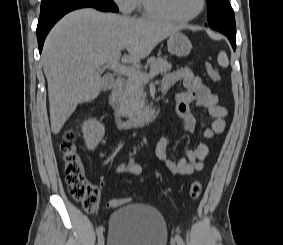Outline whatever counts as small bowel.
Segmentation results:
<instances>
[{"label": "small bowel", "mask_w": 283, "mask_h": 245, "mask_svg": "<svg viewBox=\"0 0 283 245\" xmlns=\"http://www.w3.org/2000/svg\"><path fill=\"white\" fill-rule=\"evenodd\" d=\"M177 84H182L185 90L174 95L173 117L179 119L188 132L194 133L198 126L194 109H203L211 118L203 132L204 138L213 140L215 136L221 134L226 126L227 109L220 105L219 97L188 68H179L167 73L162 81V90L167 93ZM208 154V145L199 142L194 148L184 149L182 155L175 160L169 155V141L165 134L160 137L156 145L157 160L174 175H191L202 170ZM145 169L146 165L122 163L117 167V172L129 171L141 174Z\"/></svg>", "instance_id": "c3829d8e"}]
</instances>
